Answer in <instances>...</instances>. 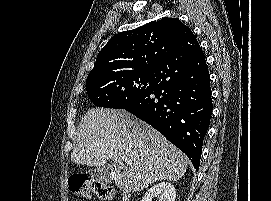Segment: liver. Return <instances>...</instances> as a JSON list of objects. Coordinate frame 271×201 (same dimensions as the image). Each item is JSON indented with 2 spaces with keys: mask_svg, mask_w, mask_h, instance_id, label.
I'll list each match as a JSON object with an SVG mask.
<instances>
[{
  "mask_svg": "<svg viewBox=\"0 0 271 201\" xmlns=\"http://www.w3.org/2000/svg\"><path fill=\"white\" fill-rule=\"evenodd\" d=\"M124 158L132 160L125 164ZM113 160L115 185L137 192L161 180L176 181L187 157L161 133L125 110L93 108L81 120L71 161L101 166Z\"/></svg>",
  "mask_w": 271,
  "mask_h": 201,
  "instance_id": "6515ba94",
  "label": "liver"
}]
</instances>
